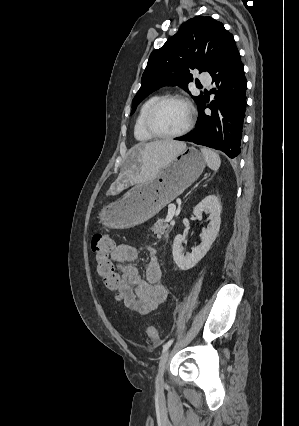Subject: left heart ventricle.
Listing matches in <instances>:
<instances>
[{"label":"left heart ventricle","instance_id":"1","mask_svg":"<svg viewBox=\"0 0 299 426\" xmlns=\"http://www.w3.org/2000/svg\"><path fill=\"white\" fill-rule=\"evenodd\" d=\"M188 109L180 102H168L156 112L153 123L155 128L162 133H175L187 123Z\"/></svg>","mask_w":299,"mask_h":426}]
</instances>
